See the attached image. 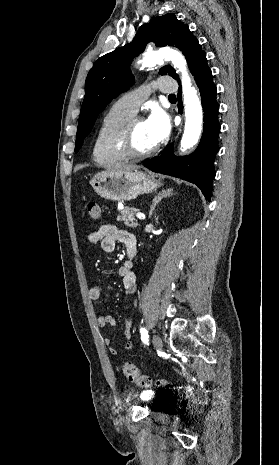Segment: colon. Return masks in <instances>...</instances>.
Here are the masks:
<instances>
[{
	"instance_id": "obj_1",
	"label": "colon",
	"mask_w": 279,
	"mask_h": 465,
	"mask_svg": "<svg viewBox=\"0 0 279 465\" xmlns=\"http://www.w3.org/2000/svg\"><path fill=\"white\" fill-rule=\"evenodd\" d=\"M87 210L89 218L93 222L100 220L101 209L97 203L90 202L87 206ZM122 372L130 382L143 388H151L153 386L161 387L167 384L165 379H153L150 376L142 374L139 369L130 362H126L122 365Z\"/></svg>"
}]
</instances>
